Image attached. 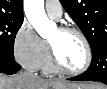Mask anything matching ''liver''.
Instances as JSON below:
<instances>
[{"instance_id":"6515ba94","label":"liver","mask_w":107,"mask_h":89,"mask_svg":"<svg viewBox=\"0 0 107 89\" xmlns=\"http://www.w3.org/2000/svg\"><path fill=\"white\" fill-rule=\"evenodd\" d=\"M63 85H68L74 88L81 86L83 89H106L104 85L100 84H76L63 83L61 81H49L32 74L29 76H23L21 73L14 76L0 75V89H49L50 87L59 88Z\"/></svg>"}]
</instances>
